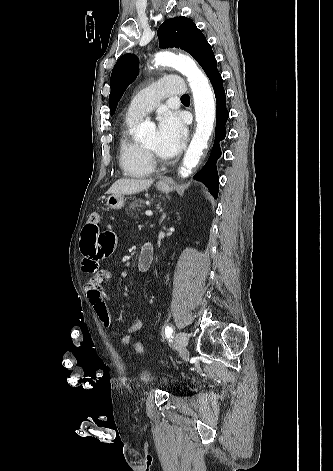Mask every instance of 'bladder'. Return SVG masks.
<instances>
[{
	"mask_svg": "<svg viewBox=\"0 0 333 471\" xmlns=\"http://www.w3.org/2000/svg\"><path fill=\"white\" fill-rule=\"evenodd\" d=\"M138 380L142 385L149 386L160 382L161 378L155 371L151 370L150 368L143 367L138 372ZM167 383L169 387L175 386L174 382L172 381H168Z\"/></svg>",
	"mask_w": 333,
	"mask_h": 471,
	"instance_id": "obj_1",
	"label": "bladder"
}]
</instances>
